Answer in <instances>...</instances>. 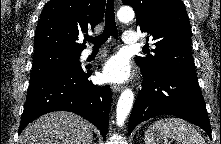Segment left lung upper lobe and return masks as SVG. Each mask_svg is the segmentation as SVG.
<instances>
[{
	"label": "left lung upper lobe",
	"mask_w": 221,
	"mask_h": 144,
	"mask_svg": "<svg viewBox=\"0 0 221 144\" xmlns=\"http://www.w3.org/2000/svg\"><path fill=\"white\" fill-rule=\"evenodd\" d=\"M136 12V21L147 40L154 41L153 55L137 56L142 68H173L195 72L191 54L192 31L185 5L181 0H123Z\"/></svg>",
	"instance_id": "1"
}]
</instances>
